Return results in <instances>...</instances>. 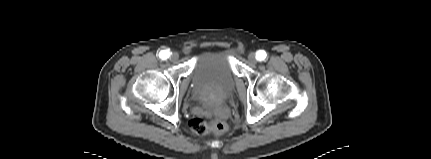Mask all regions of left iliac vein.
I'll return each instance as SVG.
<instances>
[{
	"label": "left iliac vein",
	"instance_id": "left-iliac-vein-1",
	"mask_svg": "<svg viewBox=\"0 0 431 159\" xmlns=\"http://www.w3.org/2000/svg\"><path fill=\"white\" fill-rule=\"evenodd\" d=\"M248 60H249L250 63L255 64L257 62L256 54L255 53H250L248 55Z\"/></svg>",
	"mask_w": 431,
	"mask_h": 159
}]
</instances>
